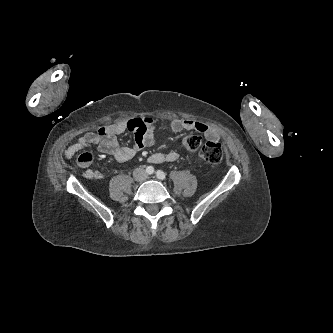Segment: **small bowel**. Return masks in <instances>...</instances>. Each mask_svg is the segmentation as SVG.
I'll list each match as a JSON object with an SVG mask.
<instances>
[{
    "label": "small bowel",
    "mask_w": 333,
    "mask_h": 333,
    "mask_svg": "<svg viewBox=\"0 0 333 333\" xmlns=\"http://www.w3.org/2000/svg\"><path fill=\"white\" fill-rule=\"evenodd\" d=\"M169 126L175 132L196 130L202 133L209 142H217L219 140L218 131L201 121L175 118L170 121ZM157 127V121L149 116L116 122L101 127L96 132L85 133L65 150L64 156L67 159H71L83 150L96 146L100 152L112 155L116 161L125 163L134 157L137 149L151 147L156 143L155 131ZM125 131L135 135L134 147L119 145L117 137ZM178 158L179 154L171 151L166 154L155 153L150 156L149 160L152 163H163L174 162ZM92 160L93 156L90 152H83L78 155L77 164L82 168H86L84 172L86 179L100 180L103 178L102 172L88 168Z\"/></svg>",
    "instance_id": "c3829d8e"
}]
</instances>
